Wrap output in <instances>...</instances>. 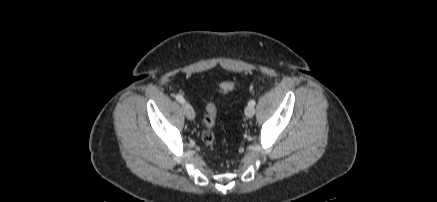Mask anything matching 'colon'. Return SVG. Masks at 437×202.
<instances>
[{
    "label": "colon",
    "mask_w": 437,
    "mask_h": 202,
    "mask_svg": "<svg viewBox=\"0 0 437 202\" xmlns=\"http://www.w3.org/2000/svg\"><path fill=\"white\" fill-rule=\"evenodd\" d=\"M237 84L236 80H228L220 85V94L226 95L232 91ZM218 110V102H211L206 106V113L204 115L205 129L202 133V139L207 144L212 146L215 141L214 127L216 123V115Z\"/></svg>",
    "instance_id": "1"
}]
</instances>
